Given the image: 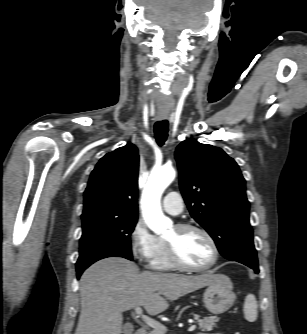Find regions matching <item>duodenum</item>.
I'll list each match as a JSON object with an SVG mask.
<instances>
[{"label": "duodenum", "mask_w": 307, "mask_h": 334, "mask_svg": "<svg viewBox=\"0 0 307 334\" xmlns=\"http://www.w3.org/2000/svg\"><path fill=\"white\" fill-rule=\"evenodd\" d=\"M134 334H147V331H146L145 328L140 327V328H138V329L135 331Z\"/></svg>", "instance_id": "duodenum-1"}]
</instances>
